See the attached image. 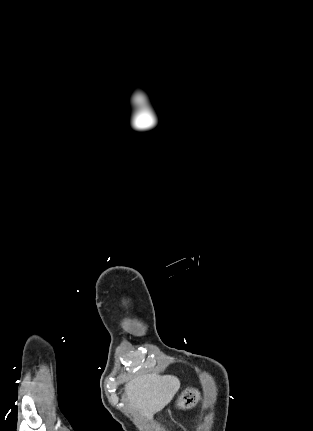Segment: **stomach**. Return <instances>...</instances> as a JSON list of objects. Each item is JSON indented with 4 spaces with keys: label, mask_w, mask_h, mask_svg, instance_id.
<instances>
[{
    "label": "stomach",
    "mask_w": 313,
    "mask_h": 431,
    "mask_svg": "<svg viewBox=\"0 0 313 431\" xmlns=\"http://www.w3.org/2000/svg\"><path fill=\"white\" fill-rule=\"evenodd\" d=\"M199 400V392L197 389L187 387L177 399V406L183 409H188L195 405Z\"/></svg>",
    "instance_id": "obj_1"
}]
</instances>
